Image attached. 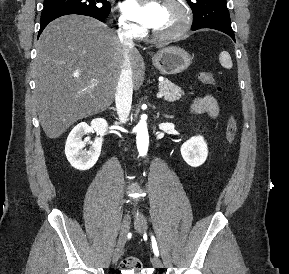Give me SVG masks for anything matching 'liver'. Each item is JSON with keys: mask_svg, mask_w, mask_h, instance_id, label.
<instances>
[{"mask_svg": "<svg viewBox=\"0 0 289 274\" xmlns=\"http://www.w3.org/2000/svg\"><path fill=\"white\" fill-rule=\"evenodd\" d=\"M135 89L144 81L139 51L129 47ZM124 49L115 31L87 16L67 15L51 22L37 43L33 65L41 126L58 138L76 121L113 103Z\"/></svg>", "mask_w": 289, "mask_h": 274, "instance_id": "1", "label": "liver"}]
</instances>
